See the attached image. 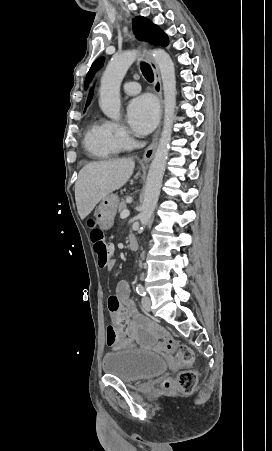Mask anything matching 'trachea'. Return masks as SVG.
<instances>
[{"label": "trachea", "mask_w": 272, "mask_h": 451, "mask_svg": "<svg viewBox=\"0 0 272 451\" xmlns=\"http://www.w3.org/2000/svg\"><path fill=\"white\" fill-rule=\"evenodd\" d=\"M141 71L146 80H148L149 82H152L154 80L152 68L150 65H148V63L141 62Z\"/></svg>", "instance_id": "trachea-1"}]
</instances>
